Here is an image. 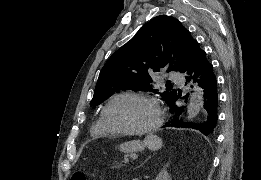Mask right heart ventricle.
Instances as JSON below:
<instances>
[{
    "mask_svg": "<svg viewBox=\"0 0 261 180\" xmlns=\"http://www.w3.org/2000/svg\"><path fill=\"white\" fill-rule=\"evenodd\" d=\"M89 134L92 139L100 142H108L117 139L106 130L103 125L101 116H98L94 123L91 125Z\"/></svg>",
    "mask_w": 261,
    "mask_h": 180,
    "instance_id": "1",
    "label": "right heart ventricle"
}]
</instances>
